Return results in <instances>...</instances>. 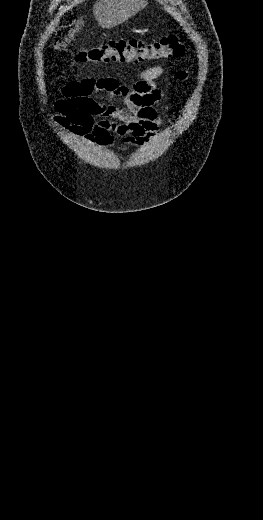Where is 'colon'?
<instances>
[{"instance_id":"colon-1","label":"colon","mask_w":263,"mask_h":520,"mask_svg":"<svg viewBox=\"0 0 263 520\" xmlns=\"http://www.w3.org/2000/svg\"><path fill=\"white\" fill-rule=\"evenodd\" d=\"M185 45L176 35L147 43L139 39H116L82 49L75 54L79 63L132 62L177 58L184 54Z\"/></svg>"}]
</instances>
